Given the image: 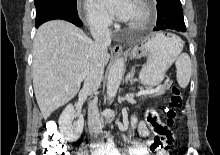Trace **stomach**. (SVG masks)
I'll list each match as a JSON object with an SVG mask.
<instances>
[{"mask_svg": "<svg viewBox=\"0 0 220 155\" xmlns=\"http://www.w3.org/2000/svg\"><path fill=\"white\" fill-rule=\"evenodd\" d=\"M183 48L182 40L172 33H158L135 47L130 56L138 58L148 55V61L140 71L139 78L144 85L156 86L160 84L174 60Z\"/></svg>", "mask_w": 220, "mask_h": 155, "instance_id": "0dacf381", "label": "stomach"}]
</instances>
